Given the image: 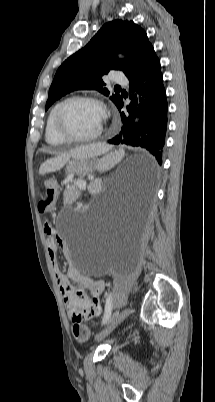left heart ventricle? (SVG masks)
<instances>
[{"mask_svg": "<svg viewBox=\"0 0 215 402\" xmlns=\"http://www.w3.org/2000/svg\"><path fill=\"white\" fill-rule=\"evenodd\" d=\"M63 124L70 133L87 136L96 133L104 126V116L97 105L77 101L69 104L64 110Z\"/></svg>", "mask_w": 215, "mask_h": 402, "instance_id": "obj_1", "label": "left heart ventricle"}]
</instances>
